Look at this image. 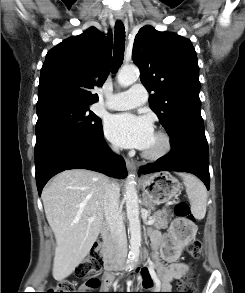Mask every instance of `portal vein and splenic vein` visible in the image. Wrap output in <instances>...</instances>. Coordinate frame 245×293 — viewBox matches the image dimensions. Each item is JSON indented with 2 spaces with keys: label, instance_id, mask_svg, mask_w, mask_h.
<instances>
[{
  "label": "portal vein and splenic vein",
  "instance_id": "obj_1",
  "mask_svg": "<svg viewBox=\"0 0 245 293\" xmlns=\"http://www.w3.org/2000/svg\"><path fill=\"white\" fill-rule=\"evenodd\" d=\"M152 223H153V220L148 221V224H152Z\"/></svg>",
  "mask_w": 245,
  "mask_h": 293
}]
</instances>
